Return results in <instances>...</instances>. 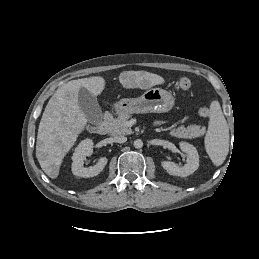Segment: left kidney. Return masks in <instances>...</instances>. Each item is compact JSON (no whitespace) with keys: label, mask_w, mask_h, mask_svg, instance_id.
<instances>
[{"label":"left kidney","mask_w":259,"mask_h":259,"mask_svg":"<svg viewBox=\"0 0 259 259\" xmlns=\"http://www.w3.org/2000/svg\"><path fill=\"white\" fill-rule=\"evenodd\" d=\"M180 149L187 154V163L179 167L176 163L163 161L162 167L173 176L186 177L194 173L199 167V155L197 149L186 142H180Z\"/></svg>","instance_id":"left-kidney-1"}]
</instances>
